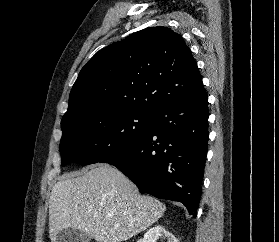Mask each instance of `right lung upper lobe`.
Wrapping results in <instances>:
<instances>
[{
  "label": "right lung upper lobe",
  "instance_id": "cb5924a9",
  "mask_svg": "<svg viewBox=\"0 0 279 242\" xmlns=\"http://www.w3.org/2000/svg\"><path fill=\"white\" fill-rule=\"evenodd\" d=\"M204 89L183 38L163 26L131 34L97 52L82 68L61 124L122 110L155 112Z\"/></svg>",
  "mask_w": 279,
  "mask_h": 242
}]
</instances>
